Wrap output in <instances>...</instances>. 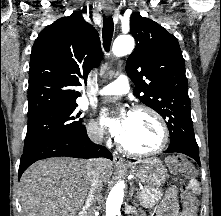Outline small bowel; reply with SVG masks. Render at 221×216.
<instances>
[{
    "label": "small bowel",
    "mask_w": 221,
    "mask_h": 216,
    "mask_svg": "<svg viewBox=\"0 0 221 216\" xmlns=\"http://www.w3.org/2000/svg\"><path fill=\"white\" fill-rule=\"evenodd\" d=\"M157 216H187L182 211H179L177 202V191L170 189L159 208Z\"/></svg>",
    "instance_id": "1"
}]
</instances>
